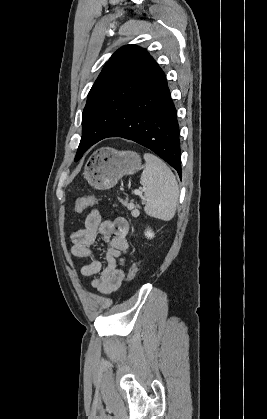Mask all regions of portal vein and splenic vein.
<instances>
[{"label":"portal vein and splenic vein","mask_w":267,"mask_h":419,"mask_svg":"<svg viewBox=\"0 0 267 419\" xmlns=\"http://www.w3.org/2000/svg\"><path fill=\"white\" fill-rule=\"evenodd\" d=\"M142 190H134L133 191V193L135 194V195H140V194H142Z\"/></svg>","instance_id":"portal-vein-and-splenic-vein-1"}]
</instances>
